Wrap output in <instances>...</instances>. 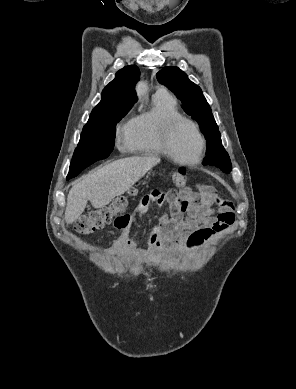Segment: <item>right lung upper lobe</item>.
I'll return each instance as SVG.
<instances>
[{
  "mask_svg": "<svg viewBox=\"0 0 296 389\" xmlns=\"http://www.w3.org/2000/svg\"><path fill=\"white\" fill-rule=\"evenodd\" d=\"M139 76V68L135 65L119 70L115 79L103 89L102 99L92 110L90 118L105 115L114 109L132 107L137 101L134 88Z\"/></svg>",
  "mask_w": 296,
  "mask_h": 389,
  "instance_id": "cb5924a9",
  "label": "right lung upper lobe"
}]
</instances>
